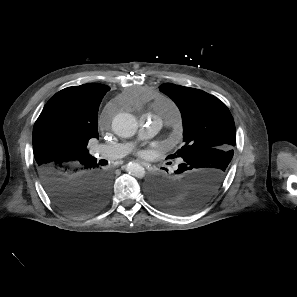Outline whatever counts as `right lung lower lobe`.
Here are the masks:
<instances>
[{
  "label": "right lung lower lobe",
  "instance_id": "obj_1",
  "mask_svg": "<svg viewBox=\"0 0 297 297\" xmlns=\"http://www.w3.org/2000/svg\"><path fill=\"white\" fill-rule=\"evenodd\" d=\"M38 173L52 201L68 214H93L108 201L110 179L94 157L55 162Z\"/></svg>",
  "mask_w": 297,
  "mask_h": 297
}]
</instances>
